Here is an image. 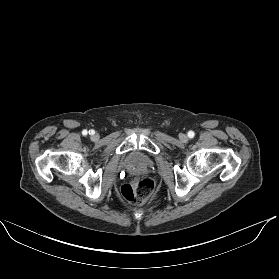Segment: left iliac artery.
Instances as JSON below:
<instances>
[{
  "mask_svg": "<svg viewBox=\"0 0 279 279\" xmlns=\"http://www.w3.org/2000/svg\"><path fill=\"white\" fill-rule=\"evenodd\" d=\"M194 135H195V134H194V132H193V131H189V132H188V136H189V138H193V137H194Z\"/></svg>",
  "mask_w": 279,
  "mask_h": 279,
  "instance_id": "44dca946",
  "label": "left iliac artery"
}]
</instances>
